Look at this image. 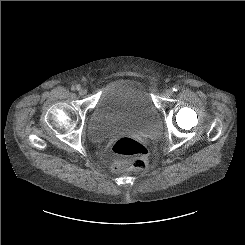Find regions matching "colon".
Returning a JSON list of instances; mask_svg holds the SVG:
<instances>
[{"instance_id": "5ec220e1", "label": "colon", "mask_w": 245, "mask_h": 245, "mask_svg": "<svg viewBox=\"0 0 245 245\" xmlns=\"http://www.w3.org/2000/svg\"><path fill=\"white\" fill-rule=\"evenodd\" d=\"M112 151L121 156L129 157L125 163L114 164V171L124 169L143 170L146 169L149 162V150L145 144L127 135L115 138L111 145Z\"/></svg>"}]
</instances>
